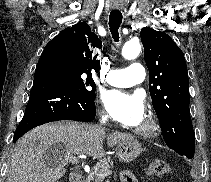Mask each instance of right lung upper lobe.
I'll return each mask as SVG.
<instances>
[{
  "mask_svg": "<svg viewBox=\"0 0 211 182\" xmlns=\"http://www.w3.org/2000/svg\"><path fill=\"white\" fill-rule=\"evenodd\" d=\"M102 48V42L86 22L61 31L44 48L58 62H64L92 75L98 72L100 61L92 54Z\"/></svg>",
  "mask_w": 211,
  "mask_h": 182,
  "instance_id": "1",
  "label": "right lung upper lobe"
}]
</instances>
